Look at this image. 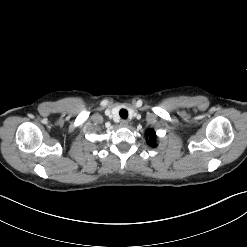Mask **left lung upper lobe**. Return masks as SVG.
Returning a JSON list of instances; mask_svg holds the SVG:
<instances>
[{"mask_svg":"<svg viewBox=\"0 0 247 247\" xmlns=\"http://www.w3.org/2000/svg\"><path fill=\"white\" fill-rule=\"evenodd\" d=\"M146 136L149 138V140L147 141V143L151 146V147H156V140H155V132L152 129H148L146 131Z\"/></svg>","mask_w":247,"mask_h":247,"instance_id":"left-lung-upper-lobe-1","label":"left lung upper lobe"}]
</instances>
